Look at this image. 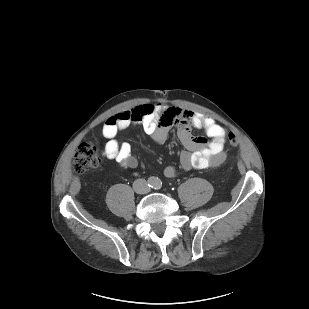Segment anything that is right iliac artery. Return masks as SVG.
Here are the masks:
<instances>
[{
	"mask_svg": "<svg viewBox=\"0 0 309 309\" xmlns=\"http://www.w3.org/2000/svg\"><path fill=\"white\" fill-rule=\"evenodd\" d=\"M149 183L152 184V180H150Z\"/></svg>",
	"mask_w": 309,
	"mask_h": 309,
	"instance_id": "obj_1",
	"label": "right iliac artery"
}]
</instances>
